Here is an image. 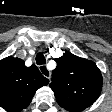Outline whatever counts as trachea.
<instances>
[{
    "label": "trachea",
    "mask_w": 112,
    "mask_h": 112,
    "mask_svg": "<svg viewBox=\"0 0 112 112\" xmlns=\"http://www.w3.org/2000/svg\"><path fill=\"white\" fill-rule=\"evenodd\" d=\"M36 63L38 65H42V64H45L46 63V59L44 57V55L42 53H38L37 56H36ZM43 74L46 75V72L43 71Z\"/></svg>",
    "instance_id": "trachea-1"
}]
</instances>
